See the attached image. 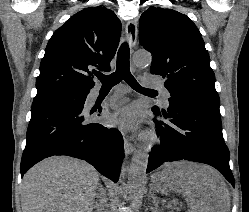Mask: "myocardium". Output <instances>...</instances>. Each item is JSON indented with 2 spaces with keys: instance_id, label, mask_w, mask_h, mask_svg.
I'll return each mask as SVG.
<instances>
[{
  "instance_id": "1",
  "label": "myocardium",
  "mask_w": 249,
  "mask_h": 212,
  "mask_svg": "<svg viewBox=\"0 0 249 212\" xmlns=\"http://www.w3.org/2000/svg\"><path fill=\"white\" fill-rule=\"evenodd\" d=\"M148 141H149V145L153 146L154 144H156L158 142V137L154 132H150L148 134Z\"/></svg>"
}]
</instances>
